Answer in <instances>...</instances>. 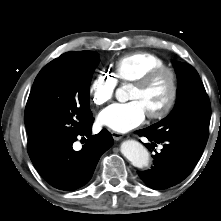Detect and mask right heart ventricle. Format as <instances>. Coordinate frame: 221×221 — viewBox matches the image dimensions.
<instances>
[{"instance_id":"right-heart-ventricle-1","label":"right heart ventricle","mask_w":221,"mask_h":221,"mask_svg":"<svg viewBox=\"0 0 221 221\" xmlns=\"http://www.w3.org/2000/svg\"><path fill=\"white\" fill-rule=\"evenodd\" d=\"M165 66L162 57L150 52H134L124 55L114 63L116 81L134 82L148 71Z\"/></svg>"}]
</instances>
